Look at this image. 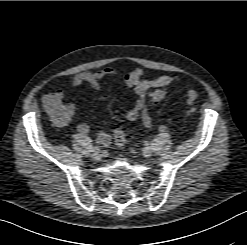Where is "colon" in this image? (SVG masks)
Wrapping results in <instances>:
<instances>
[{
    "label": "colon",
    "instance_id": "1",
    "mask_svg": "<svg viewBox=\"0 0 247 245\" xmlns=\"http://www.w3.org/2000/svg\"><path fill=\"white\" fill-rule=\"evenodd\" d=\"M167 95V90L164 88H156L149 92V98L151 102L157 103L163 100ZM197 93L193 90H190L187 93V102L191 108L194 110L196 102H197ZM48 113L50 114L51 118L56 123H63L67 119V113L63 105H53L48 109ZM113 137L114 141L117 146L123 147L126 142V137L124 132L120 128H115L113 130Z\"/></svg>",
    "mask_w": 247,
    "mask_h": 245
}]
</instances>
